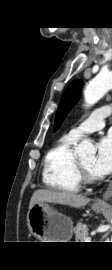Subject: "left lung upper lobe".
I'll use <instances>...</instances> for the list:
<instances>
[{
  "mask_svg": "<svg viewBox=\"0 0 112 270\" xmlns=\"http://www.w3.org/2000/svg\"><path fill=\"white\" fill-rule=\"evenodd\" d=\"M83 81L75 80L68 85L63 93L59 108L55 117L54 129L57 130L63 122L71 107L79 100Z\"/></svg>",
  "mask_w": 112,
  "mask_h": 270,
  "instance_id": "left-lung-upper-lobe-1",
  "label": "left lung upper lobe"
}]
</instances>
